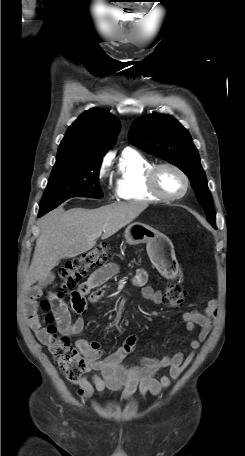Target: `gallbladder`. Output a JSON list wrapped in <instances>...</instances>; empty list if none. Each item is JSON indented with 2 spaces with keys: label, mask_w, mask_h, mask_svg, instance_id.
Instances as JSON below:
<instances>
[{
  "label": "gallbladder",
  "mask_w": 245,
  "mask_h": 456,
  "mask_svg": "<svg viewBox=\"0 0 245 456\" xmlns=\"http://www.w3.org/2000/svg\"><path fill=\"white\" fill-rule=\"evenodd\" d=\"M48 279H50V280L54 279V275L53 274H49ZM44 284H45L44 282L41 283V285H44Z\"/></svg>",
  "instance_id": "obj_1"
}]
</instances>
